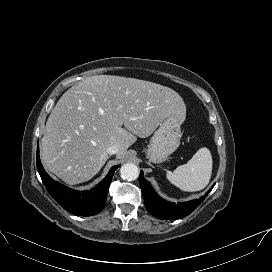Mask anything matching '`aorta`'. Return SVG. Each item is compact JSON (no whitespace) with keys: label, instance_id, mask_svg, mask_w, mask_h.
Wrapping results in <instances>:
<instances>
[{"label":"aorta","instance_id":"obj_1","mask_svg":"<svg viewBox=\"0 0 272 272\" xmlns=\"http://www.w3.org/2000/svg\"><path fill=\"white\" fill-rule=\"evenodd\" d=\"M120 174L123 179L129 180V181L135 180L139 176V169L137 165L133 163H126L121 166Z\"/></svg>","mask_w":272,"mask_h":272}]
</instances>
